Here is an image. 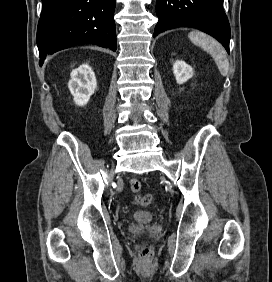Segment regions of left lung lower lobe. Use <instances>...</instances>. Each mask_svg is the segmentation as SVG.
Wrapping results in <instances>:
<instances>
[{
	"instance_id": "1",
	"label": "left lung lower lobe",
	"mask_w": 272,
	"mask_h": 282,
	"mask_svg": "<svg viewBox=\"0 0 272 282\" xmlns=\"http://www.w3.org/2000/svg\"><path fill=\"white\" fill-rule=\"evenodd\" d=\"M156 13L153 37L176 27H193L216 38L229 53L230 26L223 0H156Z\"/></svg>"
}]
</instances>
